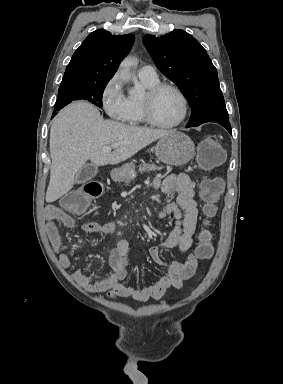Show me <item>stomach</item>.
<instances>
[{
	"label": "stomach",
	"instance_id": "1",
	"mask_svg": "<svg viewBox=\"0 0 283 384\" xmlns=\"http://www.w3.org/2000/svg\"><path fill=\"white\" fill-rule=\"evenodd\" d=\"M194 152L195 146L191 138L182 132H172L169 136L160 138L155 148L156 158L164 164H170V166H184L192 160ZM114 178L117 182L129 184L131 180L136 178L135 164L130 162V164H124L121 168H117Z\"/></svg>",
	"mask_w": 283,
	"mask_h": 384
}]
</instances>
